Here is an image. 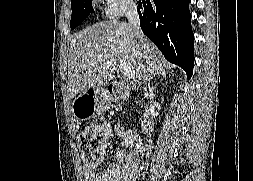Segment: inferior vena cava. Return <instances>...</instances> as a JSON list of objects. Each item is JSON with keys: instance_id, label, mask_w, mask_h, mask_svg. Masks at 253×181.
Here are the masks:
<instances>
[{"instance_id": "602c4592", "label": "inferior vena cava", "mask_w": 253, "mask_h": 181, "mask_svg": "<svg viewBox=\"0 0 253 181\" xmlns=\"http://www.w3.org/2000/svg\"><path fill=\"white\" fill-rule=\"evenodd\" d=\"M126 17L128 19L129 25L133 28L135 31L136 37L139 41L143 42L144 41V35L143 32L140 28V19H139V14L137 11V6L135 3H130L127 7L126 11ZM151 91V89L149 88Z\"/></svg>"}]
</instances>
